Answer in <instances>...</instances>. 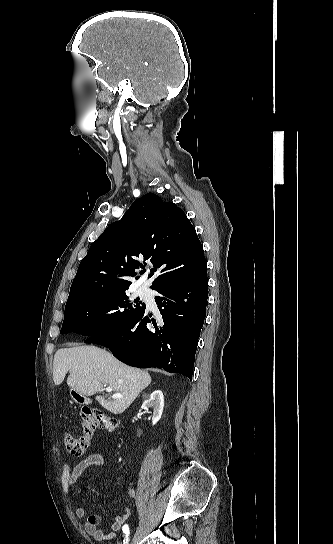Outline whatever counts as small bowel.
<instances>
[{
	"instance_id": "obj_1",
	"label": "small bowel",
	"mask_w": 333,
	"mask_h": 544,
	"mask_svg": "<svg viewBox=\"0 0 333 544\" xmlns=\"http://www.w3.org/2000/svg\"><path fill=\"white\" fill-rule=\"evenodd\" d=\"M103 464L104 458L99 453H92L88 455L73 467L65 463L62 467L61 474L63 492L68 495L72 487L88 468L101 467ZM126 493L129 498H134L136 496V490L132 487H129ZM131 512V508H126L121 515L115 516L110 524V531L107 533L99 527L102 521V517L100 515H87L86 510L83 507H78L75 510V516L78 519H86L84 527L88 534L93 536L98 541H104L115 537L116 532L123 527V524L131 516Z\"/></svg>"
}]
</instances>
